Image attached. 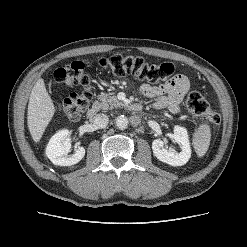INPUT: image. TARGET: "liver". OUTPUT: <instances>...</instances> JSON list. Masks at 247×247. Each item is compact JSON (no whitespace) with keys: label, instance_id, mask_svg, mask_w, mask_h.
<instances>
[{"label":"liver","instance_id":"liver-1","mask_svg":"<svg viewBox=\"0 0 247 247\" xmlns=\"http://www.w3.org/2000/svg\"><path fill=\"white\" fill-rule=\"evenodd\" d=\"M55 111L54 103L47 92L44 79L40 78L31 91L27 114L28 128L34 142L38 143L41 140Z\"/></svg>","mask_w":247,"mask_h":247}]
</instances>
